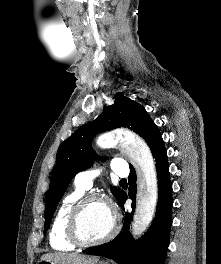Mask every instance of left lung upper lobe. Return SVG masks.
<instances>
[{"label":"left lung upper lobe","instance_id":"5c2ea615","mask_svg":"<svg viewBox=\"0 0 221 264\" xmlns=\"http://www.w3.org/2000/svg\"><path fill=\"white\" fill-rule=\"evenodd\" d=\"M119 127L129 128L140 135L149 145L152 154L163 141L159 129L142 105L127 97H117L114 104L106 107L97 119L80 127L60 145L51 174L50 188L45 195L44 233L47 232L50 219L73 177L93 164L96 157L91 146L94 136ZM130 170H134L132 165ZM111 192L120 202L123 190L111 187Z\"/></svg>","mask_w":221,"mask_h":264}]
</instances>
